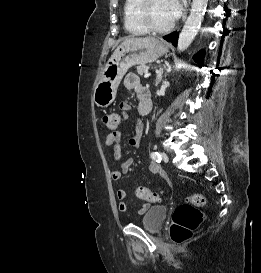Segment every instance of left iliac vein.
<instances>
[{
    "instance_id": "left-iliac-vein-1",
    "label": "left iliac vein",
    "mask_w": 261,
    "mask_h": 273,
    "mask_svg": "<svg viewBox=\"0 0 261 273\" xmlns=\"http://www.w3.org/2000/svg\"><path fill=\"white\" fill-rule=\"evenodd\" d=\"M162 160L167 162L169 160L168 155L165 152L161 153Z\"/></svg>"
}]
</instances>
